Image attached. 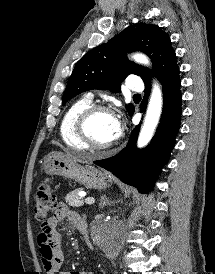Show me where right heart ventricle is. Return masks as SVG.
<instances>
[{"instance_id":"obj_1","label":"right heart ventricle","mask_w":215,"mask_h":274,"mask_svg":"<svg viewBox=\"0 0 215 274\" xmlns=\"http://www.w3.org/2000/svg\"><path fill=\"white\" fill-rule=\"evenodd\" d=\"M92 104L89 97H83L74 101L64 113L60 122V136L63 142L70 148L84 150L87 147L79 140L75 123L79 114Z\"/></svg>"}]
</instances>
